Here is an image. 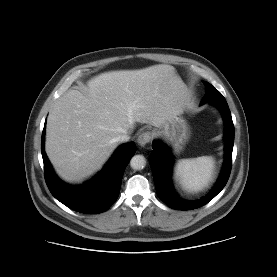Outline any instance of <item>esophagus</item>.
Instances as JSON below:
<instances>
[{
	"label": "esophagus",
	"mask_w": 277,
	"mask_h": 277,
	"mask_svg": "<svg viewBox=\"0 0 277 277\" xmlns=\"http://www.w3.org/2000/svg\"><path fill=\"white\" fill-rule=\"evenodd\" d=\"M152 139V135L150 132H143L138 136L137 143L141 147L146 146Z\"/></svg>",
	"instance_id": "esophagus-1"
}]
</instances>
